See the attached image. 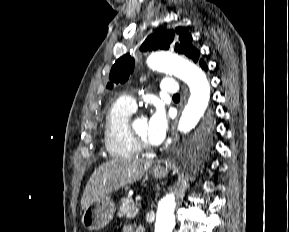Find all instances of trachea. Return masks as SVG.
<instances>
[{
	"instance_id": "obj_1",
	"label": "trachea",
	"mask_w": 289,
	"mask_h": 232,
	"mask_svg": "<svg viewBox=\"0 0 289 232\" xmlns=\"http://www.w3.org/2000/svg\"><path fill=\"white\" fill-rule=\"evenodd\" d=\"M173 98H180V95H179V94H175V95L173 96Z\"/></svg>"
}]
</instances>
